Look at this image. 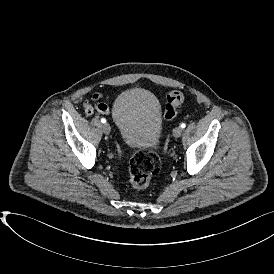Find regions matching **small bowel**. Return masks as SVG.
I'll use <instances>...</instances> for the list:
<instances>
[{
	"label": "small bowel",
	"instance_id": "1",
	"mask_svg": "<svg viewBox=\"0 0 274 274\" xmlns=\"http://www.w3.org/2000/svg\"><path fill=\"white\" fill-rule=\"evenodd\" d=\"M102 98H103V96L100 93H94L92 95V97H91V101L84 102L83 108H84V112H85L86 116H91L93 114V112H94L92 110H89L87 108V105L88 104H94L93 102L99 101ZM97 106H98L97 111L100 112V113H102V114H108L110 112V107L105 102H99V103H97Z\"/></svg>",
	"mask_w": 274,
	"mask_h": 274
}]
</instances>
